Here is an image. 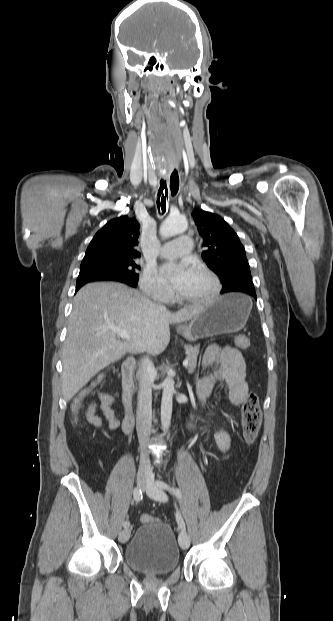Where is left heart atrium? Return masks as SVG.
Segmentation results:
<instances>
[{"mask_svg":"<svg viewBox=\"0 0 333 621\" xmlns=\"http://www.w3.org/2000/svg\"><path fill=\"white\" fill-rule=\"evenodd\" d=\"M159 273L171 288L179 292L188 283L193 270L186 263L168 262L160 267Z\"/></svg>","mask_w":333,"mask_h":621,"instance_id":"left-heart-atrium-1","label":"left heart atrium"}]
</instances>
